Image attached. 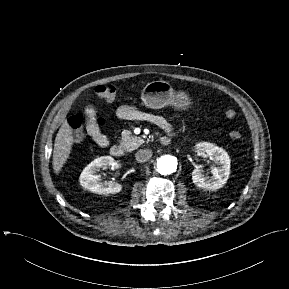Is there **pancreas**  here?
<instances>
[{"mask_svg": "<svg viewBox=\"0 0 289 289\" xmlns=\"http://www.w3.org/2000/svg\"><path fill=\"white\" fill-rule=\"evenodd\" d=\"M121 136L120 144L128 152L137 149L144 143L142 138L133 136L130 130H123Z\"/></svg>", "mask_w": 289, "mask_h": 289, "instance_id": "1", "label": "pancreas"}]
</instances>
